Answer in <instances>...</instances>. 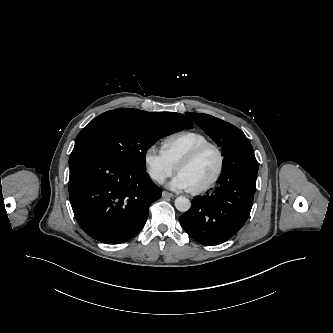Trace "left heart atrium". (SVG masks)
I'll list each match as a JSON object with an SVG mask.
<instances>
[{
  "label": "left heart atrium",
  "instance_id": "obj_1",
  "mask_svg": "<svg viewBox=\"0 0 333 333\" xmlns=\"http://www.w3.org/2000/svg\"><path fill=\"white\" fill-rule=\"evenodd\" d=\"M169 187L174 190H190L191 187L184 176L178 173L169 183Z\"/></svg>",
  "mask_w": 333,
  "mask_h": 333
}]
</instances>
